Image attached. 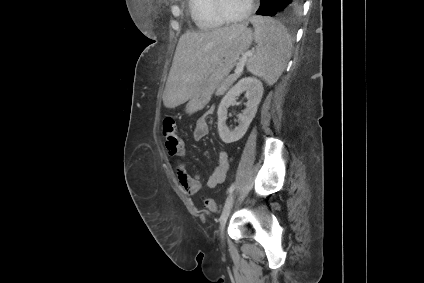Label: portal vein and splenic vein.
Instances as JSON below:
<instances>
[{
	"instance_id": "portal-vein-and-splenic-vein-1",
	"label": "portal vein and splenic vein",
	"mask_w": 424,
	"mask_h": 283,
	"mask_svg": "<svg viewBox=\"0 0 424 283\" xmlns=\"http://www.w3.org/2000/svg\"><path fill=\"white\" fill-rule=\"evenodd\" d=\"M252 55H253V53H252V52H247V53H245V54L243 55V57H242V61L247 60V58H248V57H250V56H252ZM242 70H243V66H242V64H241V63H239V64L237 65L236 69L234 70V72H235V74H240V73L242 72Z\"/></svg>"
}]
</instances>
